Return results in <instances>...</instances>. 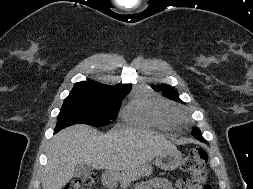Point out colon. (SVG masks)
<instances>
[{
	"instance_id": "5ec220e1",
	"label": "colon",
	"mask_w": 253,
	"mask_h": 189,
	"mask_svg": "<svg viewBox=\"0 0 253 189\" xmlns=\"http://www.w3.org/2000/svg\"><path fill=\"white\" fill-rule=\"evenodd\" d=\"M208 160V154L205 149L200 147L192 148L186 157L184 158L181 168L190 176L180 180V189H189L192 182L202 183L206 178V164ZM95 174H87L85 176L76 178L68 183L64 189H95ZM204 189H212L209 184L204 186Z\"/></svg>"
}]
</instances>
